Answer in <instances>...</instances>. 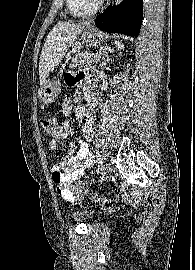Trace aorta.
Masks as SVG:
<instances>
[{"label":"aorta","instance_id":"762f6f07","mask_svg":"<svg viewBox=\"0 0 195 270\" xmlns=\"http://www.w3.org/2000/svg\"><path fill=\"white\" fill-rule=\"evenodd\" d=\"M121 2V0H114V4L118 5Z\"/></svg>","mask_w":195,"mask_h":270}]
</instances>
